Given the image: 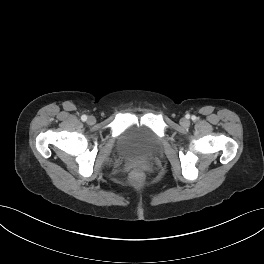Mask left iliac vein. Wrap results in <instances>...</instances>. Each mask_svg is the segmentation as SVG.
I'll return each mask as SVG.
<instances>
[{
  "mask_svg": "<svg viewBox=\"0 0 264 264\" xmlns=\"http://www.w3.org/2000/svg\"><path fill=\"white\" fill-rule=\"evenodd\" d=\"M181 124L183 126H188L189 125V121L186 118H183V119H181Z\"/></svg>",
  "mask_w": 264,
  "mask_h": 264,
  "instance_id": "obj_1",
  "label": "left iliac vein"
}]
</instances>
